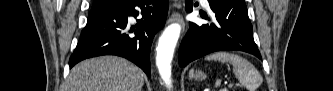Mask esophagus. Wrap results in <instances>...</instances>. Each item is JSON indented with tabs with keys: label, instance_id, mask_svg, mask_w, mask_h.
<instances>
[{
	"label": "esophagus",
	"instance_id": "1",
	"mask_svg": "<svg viewBox=\"0 0 333 91\" xmlns=\"http://www.w3.org/2000/svg\"><path fill=\"white\" fill-rule=\"evenodd\" d=\"M168 22H178L182 26L183 29L185 27V23H184L182 15L176 11L171 13Z\"/></svg>",
	"mask_w": 333,
	"mask_h": 91
}]
</instances>
